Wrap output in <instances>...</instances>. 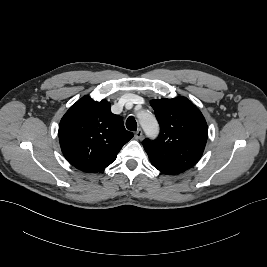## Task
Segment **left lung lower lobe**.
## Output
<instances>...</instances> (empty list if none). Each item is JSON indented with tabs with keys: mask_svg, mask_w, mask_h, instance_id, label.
Here are the masks:
<instances>
[{
	"mask_svg": "<svg viewBox=\"0 0 267 267\" xmlns=\"http://www.w3.org/2000/svg\"><path fill=\"white\" fill-rule=\"evenodd\" d=\"M155 168H157L159 171L165 174H179V173L184 172L183 170H180V169H170V168H162V167H155Z\"/></svg>",
	"mask_w": 267,
	"mask_h": 267,
	"instance_id": "left-lung-lower-lobe-1",
	"label": "left lung lower lobe"
}]
</instances>
